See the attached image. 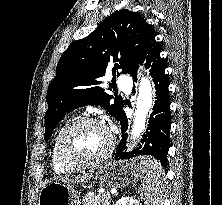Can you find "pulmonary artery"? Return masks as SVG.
<instances>
[{
  "instance_id": "1",
  "label": "pulmonary artery",
  "mask_w": 222,
  "mask_h": 205,
  "mask_svg": "<svg viewBox=\"0 0 222 205\" xmlns=\"http://www.w3.org/2000/svg\"><path fill=\"white\" fill-rule=\"evenodd\" d=\"M117 85L121 90L129 91L131 87V77L129 75H121L117 78Z\"/></svg>"
}]
</instances>
